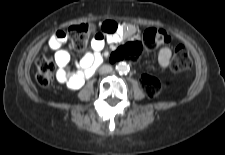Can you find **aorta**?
I'll use <instances>...</instances> for the list:
<instances>
[{
  "mask_svg": "<svg viewBox=\"0 0 225 155\" xmlns=\"http://www.w3.org/2000/svg\"><path fill=\"white\" fill-rule=\"evenodd\" d=\"M116 70L119 72V74H127L130 70V67L126 62H119L116 66Z\"/></svg>",
  "mask_w": 225,
  "mask_h": 155,
  "instance_id": "1",
  "label": "aorta"
}]
</instances>
